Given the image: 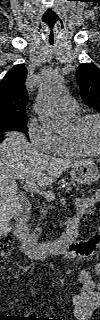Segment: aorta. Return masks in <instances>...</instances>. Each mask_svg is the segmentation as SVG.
I'll return each mask as SVG.
<instances>
[{
	"label": "aorta",
	"mask_w": 100,
	"mask_h": 320,
	"mask_svg": "<svg viewBox=\"0 0 100 320\" xmlns=\"http://www.w3.org/2000/svg\"><path fill=\"white\" fill-rule=\"evenodd\" d=\"M63 92V77L52 73L40 84L36 110L42 123L53 131L65 129L69 121L58 109L57 101Z\"/></svg>",
	"instance_id": "762f6f07"
}]
</instances>
